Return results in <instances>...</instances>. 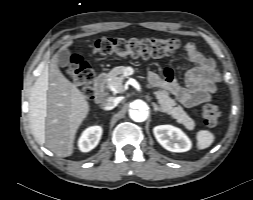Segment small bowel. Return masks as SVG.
<instances>
[{
	"mask_svg": "<svg viewBox=\"0 0 253 200\" xmlns=\"http://www.w3.org/2000/svg\"><path fill=\"white\" fill-rule=\"evenodd\" d=\"M191 63L196 69L189 74V85L180 89L183 102L197 104L209 101L211 95L216 91L218 73L214 61L202 55L193 45L188 46ZM171 77V74H167Z\"/></svg>",
	"mask_w": 253,
	"mask_h": 200,
	"instance_id": "small-bowel-1",
	"label": "small bowel"
}]
</instances>
